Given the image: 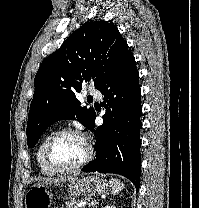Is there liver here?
<instances>
[{
	"label": "liver",
	"mask_w": 199,
	"mask_h": 208,
	"mask_svg": "<svg viewBox=\"0 0 199 208\" xmlns=\"http://www.w3.org/2000/svg\"><path fill=\"white\" fill-rule=\"evenodd\" d=\"M76 177L70 176V177H61L59 179H43L41 182H39L37 185H52V184H59V183H65L67 181H73L76 180Z\"/></svg>",
	"instance_id": "obj_1"
}]
</instances>
